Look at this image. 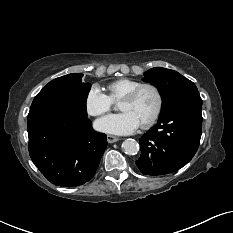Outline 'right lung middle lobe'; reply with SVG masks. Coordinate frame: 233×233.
I'll list each match as a JSON object with an SVG mask.
<instances>
[{"label": "right lung middle lobe", "mask_w": 233, "mask_h": 233, "mask_svg": "<svg viewBox=\"0 0 233 233\" xmlns=\"http://www.w3.org/2000/svg\"><path fill=\"white\" fill-rule=\"evenodd\" d=\"M83 74H68L49 82L34 98L31 108L47 103H62L86 111L91 85L83 83Z\"/></svg>", "instance_id": "dd1d6c3e"}]
</instances>
